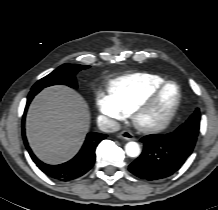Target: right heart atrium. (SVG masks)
Masks as SVG:
<instances>
[{"label":"right heart atrium","mask_w":218,"mask_h":210,"mask_svg":"<svg viewBox=\"0 0 218 210\" xmlns=\"http://www.w3.org/2000/svg\"><path fill=\"white\" fill-rule=\"evenodd\" d=\"M97 106L111 125L123 120L126 115L110 94L100 93L97 98Z\"/></svg>","instance_id":"1"}]
</instances>
